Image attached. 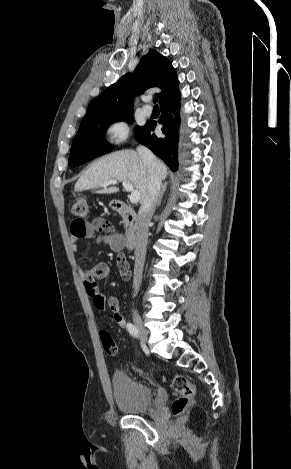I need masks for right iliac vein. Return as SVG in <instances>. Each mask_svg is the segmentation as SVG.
Segmentation results:
<instances>
[{
	"instance_id": "63e3f726",
	"label": "right iliac vein",
	"mask_w": 291,
	"mask_h": 469,
	"mask_svg": "<svg viewBox=\"0 0 291 469\" xmlns=\"http://www.w3.org/2000/svg\"><path fill=\"white\" fill-rule=\"evenodd\" d=\"M133 321H134V324L138 330V333L140 335V338L142 339V341L144 343H147V331L146 329L144 328L143 324H142V321H141V318L139 316V314L137 313L136 310L133 311Z\"/></svg>"
}]
</instances>
